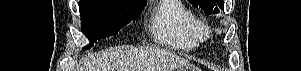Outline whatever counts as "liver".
<instances>
[{
	"mask_svg": "<svg viewBox=\"0 0 301 71\" xmlns=\"http://www.w3.org/2000/svg\"><path fill=\"white\" fill-rule=\"evenodd\" d=\"M79 71H175L188 61L158 48H109L84 59Z\"/></svg>",
	"mask_w": 301,
	"mask_h": 71,
	"instance_id": "1",
	"label": "liver"
}]
</instances>
